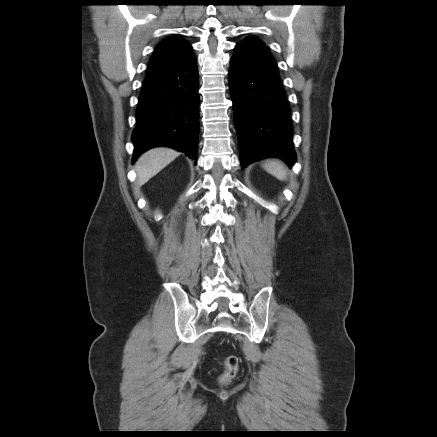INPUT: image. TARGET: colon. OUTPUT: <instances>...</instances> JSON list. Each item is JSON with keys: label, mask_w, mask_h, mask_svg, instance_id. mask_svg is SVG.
<instances>
[{"label": "colon", "mask_w": 437, "mask_h": 437, "mask_svg": "<svg viewBox=\"0 0 437 437\" xmlns=\"http://www.w3.org/2000/svg\"><path fill=\"white\" fill-rule=\"evenodd\" d=\"M239 359L235 355H228L224 359V371L221 375V381L227 383L232 380L238 371Z\"/></svg>", "instance_id": "5ec220e1"}]
</instances>
